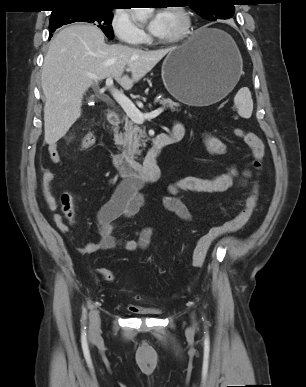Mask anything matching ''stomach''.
Instances as JSON below:
<instances>
[{
  "label": "stomach",
  "instance_id": "stomach-1",
  "mask_svg": "<svg viewBox=\"0 0 306 387\" xmlns=\"http://www.w3.org/2000/svg\"><path fill=\"white\" fill-rule=\"evenodd\" d=\"M242 66L241 54L227 33L201 28L168 53L161 75L166 89L180 102L208 106L235 87Z\"/></svg>",
  "mask_w": 306,
  "mask_h": 387
}]
</instances>
